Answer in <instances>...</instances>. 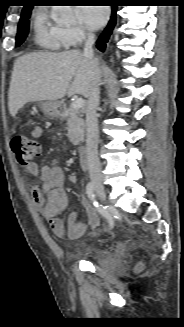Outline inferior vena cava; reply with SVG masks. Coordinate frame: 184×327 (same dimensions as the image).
<instances>
[{
  "label": "inferior vena cava",
  "instance_id": "1",
  "mask_svg": "<svg viewBox=\"0 0 184 327\" xmlns=\"http://www.w3.org/2000/svg\"><path fill=\"white\" fill-rule=\"evenodd\" d=\"M95 42V35L87 33L85 40L83 56L89 60L95 61L93 44ZM100 89L99 78L94 79L92 89L88 97L86 108V126H87V139H86V154L89 169L90 179L93 182L101 181V164L98 157V141L99 130L97 120V108L99 106Z\"/></svg>",
  "mask_w": 184,
  "mask_h": 327
}]
</instances>
